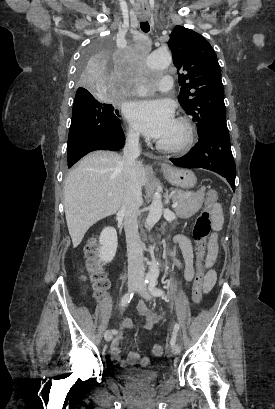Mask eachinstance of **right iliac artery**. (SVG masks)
<instances>
[{"label": "right iliac artery", "mask_w": 275, "mask_h": 409, "mask_svg": "<svg viewBox=\"0 0 275 409\" xmlns=\"http://www.w3.org/2000/svg\"><path fill=\"white\" fill-rule=\"evenodd\" d=\"M148 282H149V277H146L144 283L147 284ZM133 295H134L133 292L126 293L121 299V306L126 307L131 301V299L133 298ZM115 332L116 330H112V333H115Z\"/></svg>", "instance_id": "obj_1"}]
</instances>
